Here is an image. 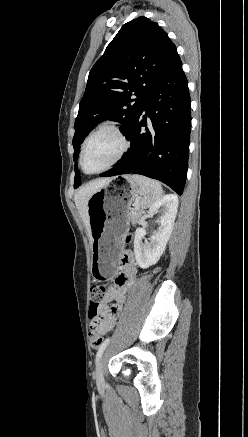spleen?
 I'll list each match as a JSON object with an SVG mask.
<instances>
[{"mask_svg":"<svg viewBox=\"0 0 248 437\" xmlns=\"http://www.w3.org/2000/svg\"><path fill=\"white\" fill-rule=\"evenodd\" d=\"M132 178L139 185V199L142 208H148L160 199L163 190L158 181L136 174Z\"/></svg>","mask_w":248,"mask_h":437,"instance_id":"1","label":"spleen"}]
</instances>
